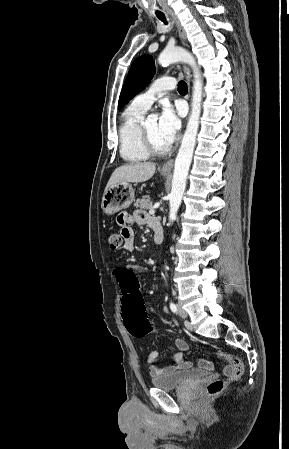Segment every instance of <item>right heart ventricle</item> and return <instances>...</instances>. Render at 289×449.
Returning <instances> with one entry per match:
<instances>
[{"label":"right heart ventricle","instance_id":"right-heart-ventricle-1","mask_svg":"<svg viewBox=\"0 0 289 449\" xmlns=\"http://www.w3.org/2000/svg\"><path fill=\"white\" fill-rule=\"evenodd\" d=\"M145 111V109L131 104L122 114L118 133L120 154L125 161L138 162L149 157L144 149L141 136V124Z\"/></svg>","mask_w":289,"mask_h":449}]
</instances>
